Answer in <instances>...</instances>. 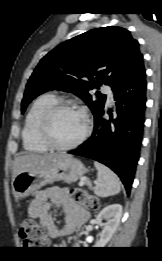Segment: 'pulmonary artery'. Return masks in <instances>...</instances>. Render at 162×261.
Segmentation results:
<instances>
[{
    "mask_svg": "<svg viewBox=\"0 0 162 261\" xmlns=\"http://www.w3.org/2000/svg\"><path fill=\"white\" fill-rule=\"evenodd\" d=\"M103 92L106 94L108 101H113V93L109 86H104Z\"/></svg>",
    "mask_w": 162,
    "mask_h": 261,
    "instance_id": "obj_1",
    "label": "pulmonary artery"
}]
</instances>
